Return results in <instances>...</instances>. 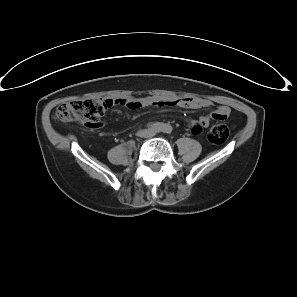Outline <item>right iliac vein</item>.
Masks as SVG:
<instances>
[{
	"mask_svg": "<svg viewBox=\"0 0 297 297\" xmlns=\"http://www.w3.org/2000/svg\"><path fill=\"white\" fill-rule=\"evenodd\" d=\"M144 135H145V132L144 131H141V132L138 133V136H140V137H142Z\"/></svg>",
	"mask_w": 297,
	"mask_h": 297,
	"instance_id": "right-iliac-vein-1",
	"label": "right iliac vein"
}]
</instances>
